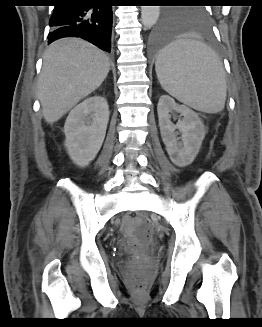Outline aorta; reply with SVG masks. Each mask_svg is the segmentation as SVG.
I'll use <instances>...</instances> for the list:
<instances>
[{"label": "aorta", "mask_w": 262, "mask_h": 327, "mask_svg": "<svg viewBox=\"0 0 262 327\" xmlns=\"http://www.w3.org/2000/svg\"><path fill=\"white\" fill-rule=\"evenodd\" d=\"M160 15L159 6H142L141 22L144 28L149 29L155 25Z\"/></svg>", "instance_id": "1"}]
</instances>
